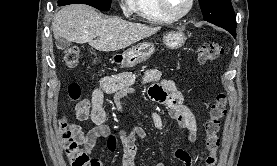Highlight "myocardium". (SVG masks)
Masks as SVG:
<instances>
[{
	"mask_svg": "<svg viewBox=\"0 0 277 166\" xmlns=\"http://www.w3.org/2000/svg\"><path fill=\"white\" fill-rule=\"evenodd\" d=\"M157 3L161 12L172 21L180 20L187 16L194 6V0H188L186 9L181 13L175 14L169 10L166 0H157Z\"/></svg>",
	"mask_w": 277,
	"mask_h": 166,
	"instance_id": "f54148a6",
	"label": "myocardium"
}]
</instances>
